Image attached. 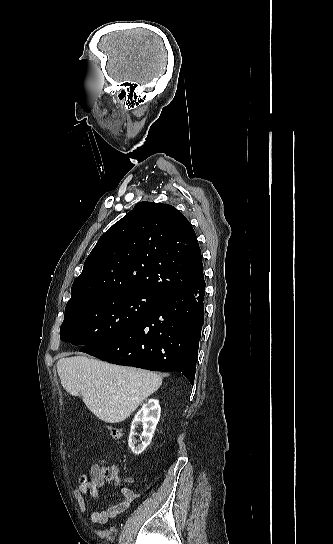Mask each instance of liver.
I'll use <instances>...</instances> for the list:
<instances>
[{"mask_svg": "<svg viewBox=\"0 0 333 544\" xmlns=\"http://www.w3.org/2000/svg\"><path fill=\"white\" fill-rule=\"evenodd\" d=\"M57 371L63 388L72 396L81 394L88 409L106 423L127 419L162 383L154 372L86 356L61 358Z\"/></svg>", "mask_w": 333, "mask_h": 544, "instance_id": "obj_1", "label": "liver"}]
</instances>
